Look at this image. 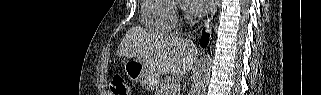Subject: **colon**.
Wrapping results in <instances>:
<instances>
[{
  "label": "colon",
  "instance_id": "colon-1",
  "mask_svg": "<svg viewBox=\"0 0 321 95\" xmlns=\"http://www.w3.org/2000/svg\"><path fill=\"white\" fill-rule=\"evenodd\" d=\"M110 89L113 94L117 95H130V89L123 79V77L116 75L112 78Z\"/></svg>",
  "mask_w": 321,
  "mask_h": 95
}]
</instances>
